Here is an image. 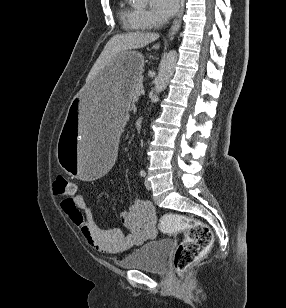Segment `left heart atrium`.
<instances>
[{
  "mask_svg": "<svg viewBox=\"0 0 286 308\" xmlns=\"http://www.w3.org/2000/svg\"><path fill=\"white\" fill-rule=\"evenodd\" d=\"M179 0H152V9L162 19L170 18L178 9Z\"/></svg>",
  "mask_w": 286,
  "mask_h": 308,
  "instance_id": "obj_1",
  "label": "left heart atrium"
}]
</instances>
